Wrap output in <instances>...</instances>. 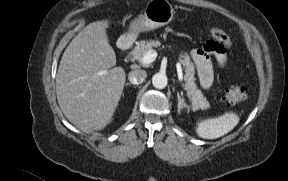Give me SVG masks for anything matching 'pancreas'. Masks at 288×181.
<instances>
[{
	"label": "pancreas",
	"mask_w": 288,
	"mask_h": 181,
	"mask_svg": "<svg viewBox=\"0 0 288 181\" xmlns=\"http://www.w3.org/2000/svg\"><path fill=\"white\" fill-rule=\"evenodd\" d=\"M161 45L158 40H148L140 41L139 45L134 48V56L140 61V59L148 51L153 50ZM181 64L185 68V90L187 91V96L192 103L194 109H207L210 107L209 102L206 97L202 94L201 90L197 88L195 83V67L194 63L190 60V57L187 53L181 52L179 58Z\"/></svg>",
	"instance_id": "obj_1"
}]
</instances>
